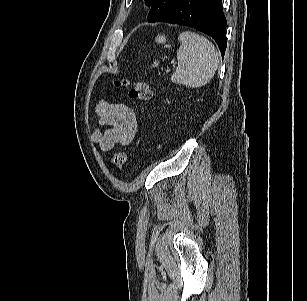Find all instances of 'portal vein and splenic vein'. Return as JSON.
<instances>
[{
    "label": "portal vein and splenic vein",
    "instance_id": "portal-vein-and-splenic-vein-1",
    "mask_svg": "<svg viewBox=\"0 0 307 301\" xmlns=\"http://www.w3.org/2000/svg\"><path fill=\"white\" fill-rule=\"evenodd\" d=\"M166 72H167V73L170 72V69H166Z\"/></svg>",
    "mask_w": 307,
    "mask_h": 301
}]
</instances>
